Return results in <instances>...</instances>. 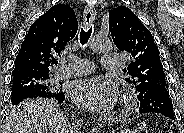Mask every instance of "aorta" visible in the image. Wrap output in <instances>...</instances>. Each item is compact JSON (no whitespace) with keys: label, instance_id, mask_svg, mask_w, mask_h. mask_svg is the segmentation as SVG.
<instances>
[{"label":"aorta","instance_id":"1","mask_svg":"<svg viewBox=\"0 0 184 133\" xmlns=\"http://www.w3.org/2000/svg\"><path fill=\"white\" fill-rule=\"evenodd\" d=\"M90 48L95 52H106L111 50L112 43L109 39L94 36L89 42Z\"/></svg>","mask_w":184,"mask_h":133}]
</instances>
